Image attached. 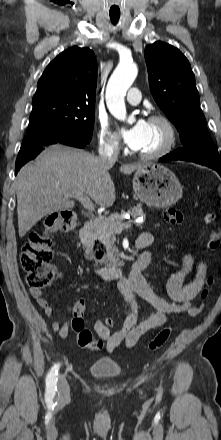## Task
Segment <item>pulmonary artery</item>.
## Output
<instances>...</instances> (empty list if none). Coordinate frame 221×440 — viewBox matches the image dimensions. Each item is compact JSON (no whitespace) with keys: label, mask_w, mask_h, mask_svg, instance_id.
<instances>
[{"label":"pulmonary artery","mask_w":221,"mask_h":440,"mask_svg":"<svg viewBox=\"0 0 221 440\" xmlns=\"http://www.w3.org/2000/svg\"><path fill=\"white\" fill-rule=\"evenodd\" d=\"M126 99L131 104H138L141 100V93L138 88H131L126 96Z\"/></svg>","instance_id":"pulmonary-artery-1"}]
</instances>
